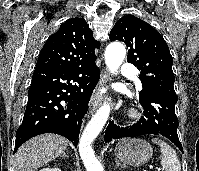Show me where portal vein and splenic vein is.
Returning a JSON list of instances; mask_svg holds the SVG:
<instances>
[{
	"instance_id": "18ae733b",
	"label": "portal vein and splenic vein",
	"mask_w": 199,
	"mask_h": 171,
	"mask_svg": "<svg viewBox=\"0 0 199 171\" xmlns=\"http://www.w3.org/2000/svg\"><path fill=\"white\" fill-rule=\"evenodd\" d=\"M155 169H156L157 171H164L163 168H159V167H156Z\"/></svg>"
}]
</instances>
